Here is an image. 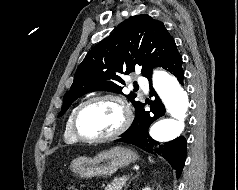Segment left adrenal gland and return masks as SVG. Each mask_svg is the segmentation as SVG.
<instances>
[{
	"label": "left adrenal gland",
	"instance_id": "a2214340",
	"mask_svg": "<svg viewBox=\"0 0 238 190\" xmlns=\"http://www.w3.org/2000/svg\"><path fill=\"white\" fill-rule=\"evenodd\" d=\"M135 177H137V176H135ZM135 177H133V178L130 180V182H131L133 179H135ZM130 182L128 183V185L125 187V189H124V190H126V189L128 188V186H129Z\"/></svg>",
	"mask_w": 238,
	"mask_h": 190
}]
</instances>
